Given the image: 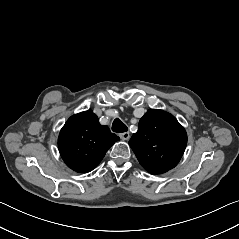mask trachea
Segmentation results:
<instances>
[{
    "instance_id": "trachea-1",
    "label": "trachea",
    "mask_w": 239,
    "mask_h": 239,
    "mask_svg": "<svg viewBox=\"0 0 239 239\" xmlns=\"http://www.w3.org/2000/svg\"><path fill=\"white\" fill-rule=\"evenodd\" d=\"M112 131L116 133H123L128 131V127L120 119L117 118L113 121Z\"/></svg>"
}]
</instances>
